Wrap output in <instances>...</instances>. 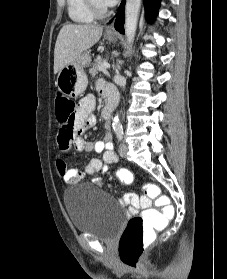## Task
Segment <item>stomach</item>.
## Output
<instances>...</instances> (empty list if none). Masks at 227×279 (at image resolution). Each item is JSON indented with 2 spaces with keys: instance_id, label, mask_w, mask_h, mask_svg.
Returning <instances> with one entry per match:
<instances>
[{
  "instance_id": "stomach-1",
  "label": "stomach",
  "mask_w": 227,
  "mask_h": 279,
  "mask_svg": "<svg viewBox=\"0 0 227 279\" xmlns=\"http://www.w3.org/2000/svg\"><path fill=\"white\" fill-rule=\"evenodd\" d=\"M105 37L109 41H114L115 35L106 32ZM91 57L87 52H83L75 61L63 67L57 75L56 85L60 92L72 98L80 96L86 89L88 80L84 67L89 65Z\"/></svg>"
}]
</instances>
